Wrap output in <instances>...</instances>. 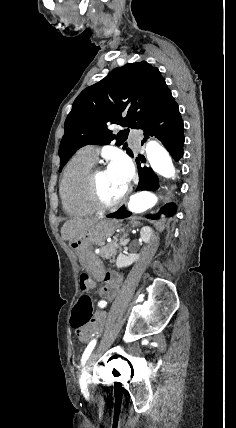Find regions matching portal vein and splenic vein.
I'll return each mask as SVG.
<instances>
[{"mask_svg":"<svg viewBox=\"0 0 236 428\" xmlns=\"http://www.w3.org/2000/svg\"><path fill=\"white\" fill-rule=\"evenodd\" d=\"M107 242H111V240H107Z\"/></svg>","mask_w":236,"mask_h":428,"instance_id":"1","label":"portal vein and splenic vein"}]
</instances>
